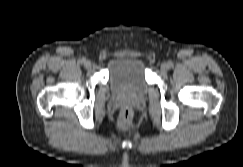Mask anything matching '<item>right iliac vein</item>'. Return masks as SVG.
<instances>
[{"label":"right iliac vein","mask_w":243,"mask_h":167,"mask_svg":"<svg viewBox=\"0 0 243 167\" xmlns=\"http://www.w3.org/2000/svg\"><path fill=\"white\" fill-rule=\"evenodd\" d=\"M84 66H85L87 69L91 68V66H92L91 61H90V60H85V62H84Z\"/></svg>","instance_id":"obj_1"}]
</instances>
